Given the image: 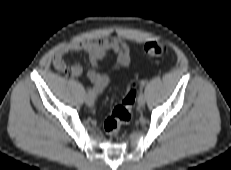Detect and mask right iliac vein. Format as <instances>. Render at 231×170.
<instances>
[{
    "instance_id": "1",
    "label": "right iliac vein",
    "mask_w": 231,
    "mask_h": 170,
    "mask_svg": "<svg viewBox=\"0 0 231 170\" xmlns=\"http://www.w3.org/2000/svg\"><path fill=\"white\" fill-rule=\"evenodd\" d=\"M85 103H86L89 107H92V106L94 105V98H93L91 95L87 94V95L85 96Z\"/></svg>"
}]
</instances>
